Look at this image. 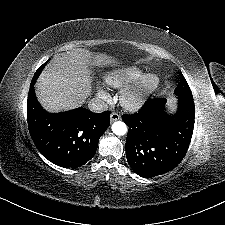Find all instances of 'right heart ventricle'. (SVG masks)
Listing matches in <instances>:
<instances>
[{"label":"right heart ventricle","instance_id":"1","mask_svg":"<svg viewBox=\"0 0 225 225\" xmlns=\"http://www.w3.org/2000/svg\"><path fill=\"white\" fill-rule=\"evenodd\" d=\"M140 72H128V73H110L106 76V82L109 86L115 89L126 88L132 83H135L139 77Z\"/></svg>","mask_w":225,"mask_h":225}]
</instances>
